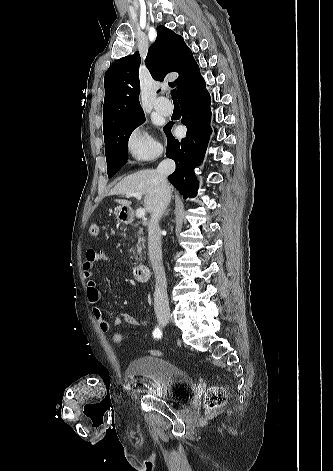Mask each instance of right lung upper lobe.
I'll list each match as a JSON object with an SVG mask.
<instances>
[{
    "label": "right lung upper lobe",
    "mask_w": 333,
    "mask_h": 471,
    "mask_svg": "<svg viewBox=\"0 0 333 471\" xmlns=\"http://www.w3.org/2000/svg\"><path fill=\"white\" fill-rule=\"evenodd\" d=\"M140 62L139 52H135L115 61L106 71L103 132L114 124L143 113L138 99ZM145 64L158 81L170 72L179 73V77L170 83L177 87L178 98L200 75L199 67L183 38L162 25L157 27V39L148 50Z\"/></svg>",
    "instance_id": "cb5924a9"
}]
</instances>
